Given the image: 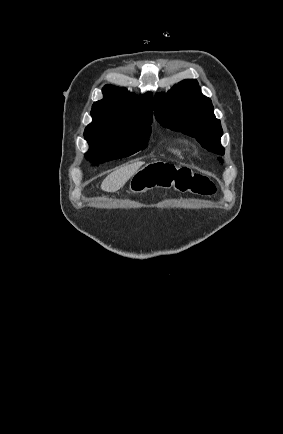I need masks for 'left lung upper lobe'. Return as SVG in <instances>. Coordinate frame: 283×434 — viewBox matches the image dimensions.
Masks as SVG:
<instances>
[{"label": "left lung upper lobe", "instance_id": "1", "mask_svg": "<svg viewBox=\"0 0 283 434\" xmlns=\"http://www.w3.org/2000/svg\"><path fill=\"white\" fill-rule=\"evenodd\" d=\"M154 109L162 126L194 137L208 151L224 155L220 120L215 118L211 100L201 93L195 79L178 83L166 94H157Z\"/></svg>", "mask_w": 283, "mask_h": 434}]
</instances>
